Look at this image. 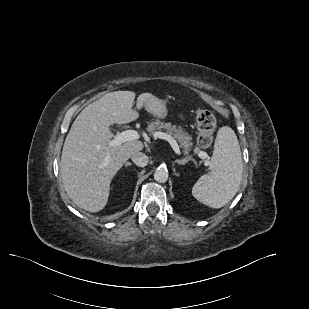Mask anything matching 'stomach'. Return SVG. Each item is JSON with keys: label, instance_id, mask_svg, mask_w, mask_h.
Returning a JSON list of instances; mask_svg holds the SVG:
<instances>
[{"label": "stomach", "instance_id": "1", "mask_svg": "<svg viewBox=\"0 0 309 309\" xmlns=\"http://www.w3.org/2000/svg\"><path fill=\"white\" fill-rule=\"evenodd\" d=\"M145 109L159 119H164L168 115L166 103L158 98H152L144 105Z\"/></svg>", "mask_w": 309, "mask_h": 309}]
</instances>
